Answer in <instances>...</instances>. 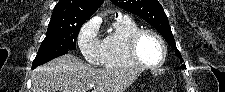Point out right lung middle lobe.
Here are the masks:
<instances>
[{"label":"right lung middle lobe","mask_w":225,"mask_h":92,"mask_svg":"<svg viewBox=\"0 0 225 92\" xmlns=\"http://www.w3.org/2000/svg\"><path fill=\"white\" fill-rule=\"evenodd\" d=\"M85 21L75 20L64 25L48 26L46 37L41 43L32 68L35 69L56 57L76 49V39Z\"/></svg>","instance_id":"1"}]
</instances>
